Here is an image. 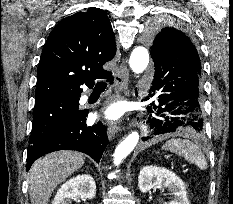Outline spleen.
Segmentation results:
<instances>
[{"mask_svg": "<svg viewBox=\"0 0 233 204\" xmlns=\"http://www.w3.org/2000/svg\"><path fill=\"white\" fill-rule=\"evenodd\" d=\"M162 149L169 150L183 157L189 163L196 165L201 170L207 169V161L198 145L188 139L168 140Z\"/></svg>", "mask_w": 233, "mask_h": 204, "instance_id": "spleen-1", "label": "spleen"}]
</instances>
